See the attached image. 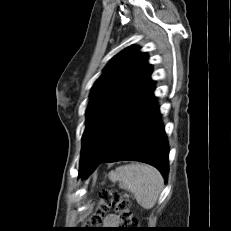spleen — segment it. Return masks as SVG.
Returning a JSON list of instances; mask_svg holds the SVG:
<instances>
[{
	"instance_id": "spleen-1",
	"label": "spleen",
	"mask_w": 231,
	"mask_h": 231,
	"mask_svg": "<svg viewBox=\"0 0 231 231\" xmlns=\"http://www.w3.org/2000/svg\"><path fill=\"white\" fill-rule=\"evenodd\" d=\"M109 178L131 192L137 203L145 209L155 206L164 186L160 172L153 166L141 163L120 166L110 173Z\"/></svg>"
}]
</instances>
